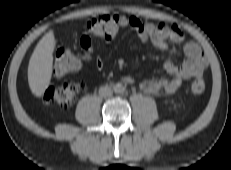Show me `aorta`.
<instances>
[{"instance_id":"obj_1","label":"aorta","mask_w":231,"mask_h":170,"mask_svg":"<svg viewBox=\"0 0 231 170\" xmlns=\"http://www.w3.org/2000/svg\"><path fill=\"white\" fill-rule=\"evenodd\" d=\"M113 90L117 94H122L125 91V88L122 84L118 83L113 87Z\"/></svg>"}]
</instances>
